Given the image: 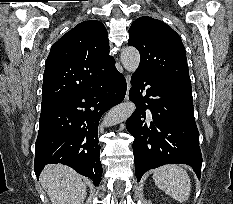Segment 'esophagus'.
<instances>
[{
  "instance_id": "34e87169",
  "label": "esophagus",
  "mask_w": 233,
  "mask_h": 204,
  "mask_svg": "<svg viewBox=\"0 0 233 204\" xmlns=\"http://www.w3.org/2000/svg\"><path fill=\"white\" fill-rule=\"evenodd\" d=\"M125 79H126V83H127V93H126V96H125V100H128L129 90H130V87H131L130 76L126 74Z\"/></svg>"
}]
</instances>
